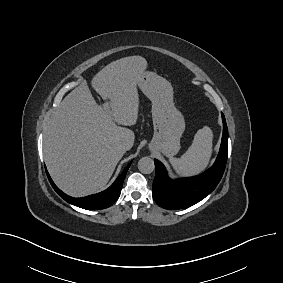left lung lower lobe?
<instances>
[{"mask_svg":"<svg viewBox=\"0 0 283 283\" xmlns=\"http://www.w3.org/2000/svg\"><path fill=\"white\" fill-rule=\"evenodd\" d=\"M222 121L223 135L219 154L214 165L203 174L171 180L163 164L155 159L152 196L159 206L169 210L187 208L204 199L216 188L223 176L228 156V128L223 113Z\"/></svg>","mask_w":283,"mask_h":283,"instance_id":"left-lung-lower-lobe-1","label":"left lung lower lobe"}]
</instances>
